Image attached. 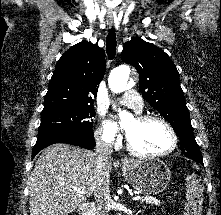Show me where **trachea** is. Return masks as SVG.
<instances>
[{
	"label": "trachea",
	"mask_w": 221,
	"mask_h": 215,
	"mask_svg": "<svg viewBox=\"0 0 221 215\" xmlns=\"http://www.w3.org/2000/svg\"><path fill=\"white\" fill-rule=\"evenodd\" d=\"M106 53L109 59H113L116 55V34L114 29H110L106 38Z\"/></svg>",
	"instance_id": "1"
}]
</instances>
